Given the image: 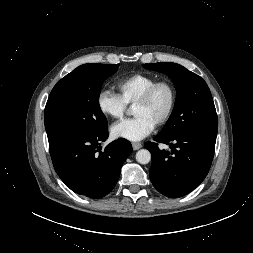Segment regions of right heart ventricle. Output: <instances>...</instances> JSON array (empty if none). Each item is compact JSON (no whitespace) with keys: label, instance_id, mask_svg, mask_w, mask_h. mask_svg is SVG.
I'll list each match as a JSON object with an SVG mask.
<instances>
[{"label":"right heart ventricle","instance_id":"e07e8e85","mask_svg":"<svg viewBox=\"0 0 253 253\" xmlns=\"http://www.w3.org/2000/svg\"><path fill=\"white\" fill-rule=\"evenodd\" d=\"M157 81L156 76L137 73L120 79L116 83V89L126 105H133Z\"/></svg>","mask_w":253,"mask_h":253}]
</instances>
